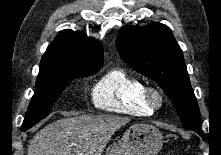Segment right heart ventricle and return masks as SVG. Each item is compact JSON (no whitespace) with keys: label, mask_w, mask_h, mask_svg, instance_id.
I'll list each match as a JSON object with an SVG mask.
<instances>
[{"label":"right heart ventricle","mask_w":221,"mask_h":155,"mask_svg":"<svg viewBox=\"0 0 221 155\" xmlns=\"http://www.w3.org/2000/svg\"><path fill=\"white\" fill-rule=\"evenodd\" d=\"M144 83L124 69L116 68L104 74L92 89V101L98 109L147 116L153 113L144 101Z\"/></svg>","instance_id":"e07e8e85"}]
</instances>
